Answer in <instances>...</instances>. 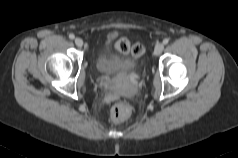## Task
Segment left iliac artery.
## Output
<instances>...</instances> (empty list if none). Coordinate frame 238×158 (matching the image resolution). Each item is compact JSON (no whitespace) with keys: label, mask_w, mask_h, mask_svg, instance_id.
<instances>
[{"label":"left iliac artery","mask_w":238,"mask_h":158,"mask_svg":"<svg viewBox=\"0 0 238 158\" xmlns=\"http://www.w3.org/2000/svg\"><path fill=\"white\" fill-rule=\"evenodd\" d=\"M168 42H169V39L168 38H165L164 40H163V44H168Z\"/></svg>","instance_id":"left-iliac-artery-1"}]
</instances>
